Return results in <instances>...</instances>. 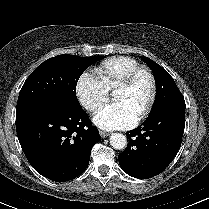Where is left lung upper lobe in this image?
<instances>
[{"instance_id":"5c2ea615","label":"left lung upper lobe","mask_w":209,"mask_h":209,"mask_svg":"<svg viewBox=\"0 0 209 209\" xmlns=\"http://www.w3.org/2000/svg\"><path fill=\"white\" fill-rule=\"evenodd\" d=\"M142 59L152 69L156 81V98L150 113L165 105L185 103L183 95L169 73L150 58Z\"/></svg>"}]
</instances>
